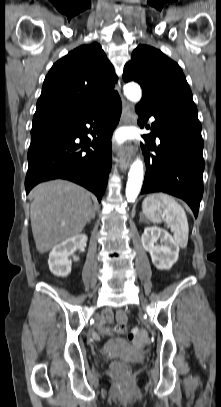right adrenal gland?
Segmentation results:
<instances>
[{"label":"right adrenal gland","mask_w":221,"mask_h":407,"mask_svg":"<svg viewBox=\"0 0 221 407\" xmlns=\"http://www.w3.org/2000/svg\"><path fill=\"white\" fill-rule=\"evenodd\" d=\"M95 218V208L93 207V215H92V219ZM91 220L88 221V223H90Z\"/></svg>","instance_id":"1"}]
</instances>
